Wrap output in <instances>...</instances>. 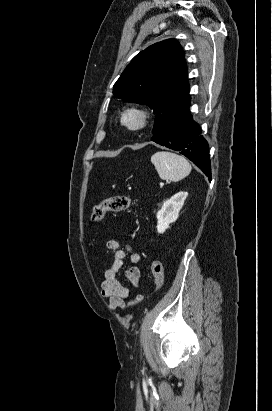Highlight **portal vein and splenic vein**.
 <instances>
[{"instance_id": "1", "label": "portal vein and splenic vein", "mask_w": 272, "mask_h": 411, "mask_svg": "<svg viewBox=\"0 0 272 411\" xmlns=\"http://www.w3.org/2000/svg\"><path fill=\"white\" fill-rule=\"evenodd\" d=\"M160 185H164V183L161 182Z\"/></svg>"}]
</instances>
